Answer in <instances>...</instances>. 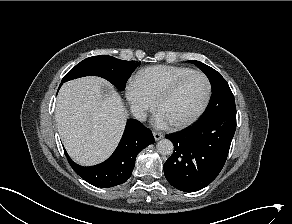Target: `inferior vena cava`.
<instances>
[{
    "mask_svg": "<svg viewBox=\"0 0 292 224\" xmlns=\"http://www.w3.org/2000/svg\"><path fill=\"white\" fill-rule=\"evenodd\" d=\"M130 111L132 116L139 120V121H144L146 119V113L144 112V110L136 105H132L130 107Z\"/></svg>",
    "mask_w": 292,
    "mask_h": 224,
    "instance_id": "602c4592",
    "label": "inferior vena cava"
}]
</instances>
